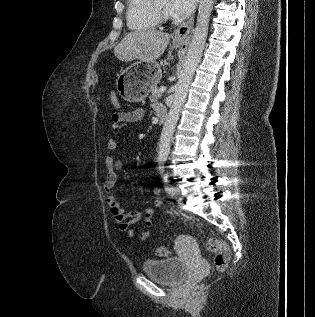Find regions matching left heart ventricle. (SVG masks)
<instances>
[{"label": "left heart ventricle", "mask_w": 315, "mask_h": 317, "mask_svg": "<svg viewBox=\"0 0 315 317\" xmlns=\"http://www.w3.org/2000/svg\"><path fill=\"white\" fill-rule=\"evenodd\" d=\"M156 7L159 8L161 11H163L164 13H166V0H159L156 4Z\"/></svg>", "instance_id": "b2bd125f"}]
</instances>
